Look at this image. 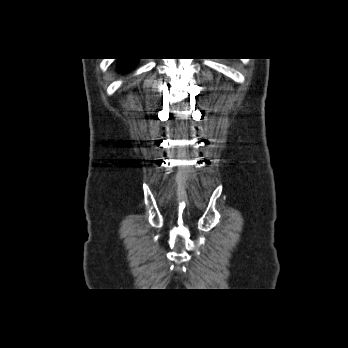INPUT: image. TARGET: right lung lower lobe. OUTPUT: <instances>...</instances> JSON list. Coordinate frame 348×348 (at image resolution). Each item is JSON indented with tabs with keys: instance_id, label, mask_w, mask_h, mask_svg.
Wrapping results in <instances>:
<instances>
[{
	"instance_id": "right-lung-lower-lobe-1",
	"label": "right lung lower lobe",
	"mask_w": 348,
	"mask_h": 348,
	"mask_svg": "<svg viewBox=\"0 0 348 348\" xmlns=\"http://www.w3.org/2000/svg\"><path fill=\"white\" fill-rule=\"evenodd\" d=\"M137 59H120L119 67L121 71H124L126 68H130Z\"/></svg>"
}]
</instances>
